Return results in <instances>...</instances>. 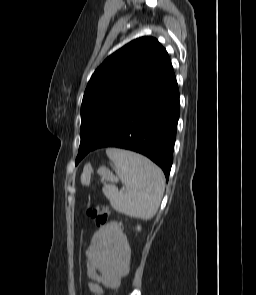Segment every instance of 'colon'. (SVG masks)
Segmentation results:
<instances>
[{"label": "colon", "instance_id": "1", "mask_svg": "<svg viewBox=\"0 0 256 295\" xmlns=\"http://www.w3.org/2000/svg\"><path fill=\"white\" fill-rule=\"evenodd\" d=\"M86 215L93 220L96 226H102L108 221L109 211L105 205L99 204L88 208L86 210Z\"/></svg>", "mask_w": 256, "mask_h": 295}]
</instances>
